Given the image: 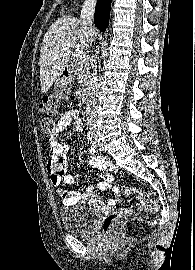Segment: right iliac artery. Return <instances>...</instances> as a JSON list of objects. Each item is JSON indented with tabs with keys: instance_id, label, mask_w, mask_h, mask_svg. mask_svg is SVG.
<instances>
[{
	"instance_id": "1",
	"label": "right iliac artery",
	"mask_w": 195,
	"mask_h": 270,
	"mask_svg": "<svg viewBox=\"0 0 195 270\" xmlns=\"http://www.w3.org/2000/svg\"><path fill=\"white\" fill-rule=\"evenodd\" d=\"M87 136H88V139H89L90 141H92V138H93V132H92V129H91V128H89L88 133H87Z\"/></svg>"
}]
</instances>
